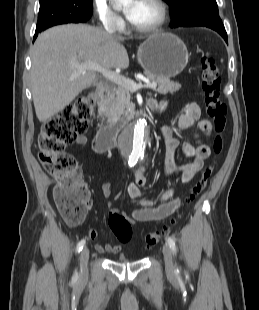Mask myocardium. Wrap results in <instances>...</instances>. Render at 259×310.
I'll use <instances>...</instances> for the list:
<instances>
[{"instance_id":"obj_1","label":"myocardium","mask_w":259,"mask_h":310,"mask_svg":"<svg viewBox=\"0 0 259 310\" xmlns=\"http://www.w3.org/2000/svg\"><path fill=\"white\" fill-rule=\"evenodd\" d=\"M151 1L158 7L160 11L159 19L153 25L147 26V27L136 26L132 24L130 21V27L138 33L146 34V33L156 32L160 30L166 24L168 20V7L166 3L163 0H151Z\"/></svg>"}]
</instances>
